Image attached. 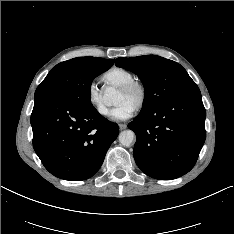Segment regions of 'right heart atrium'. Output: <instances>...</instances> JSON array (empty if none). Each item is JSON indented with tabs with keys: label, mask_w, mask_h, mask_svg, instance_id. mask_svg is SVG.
<instances>
[{
	"label": "right heart atrium",
	"mask_w": 234,
	"mask_h": 234,
	"mask_svg": "<svg viewBox=\"0 0 234 234\" xmlns=\"http://www.w3.org/2000/svg\"><path fill=\"white\" fill-rule=\"evenodd\" d=\"M87 98L90 105L101 116H106L109 113L108 108L104 104L101 92L95 82H91L87 88Z\"/></svg>",
	"instance_id": "1"
}]
</instances>
